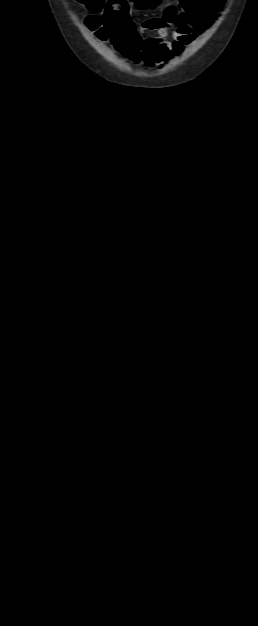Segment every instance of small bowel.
Segmentation results:
<instances>
[{"instance_id":"small-bowel-1","label":"small bowel","mask_w":258,"mask_h":626,"mask_svg":"<svg viewBox=\"0 0 258 626\" xmlns=\"http://www.w3.org/2000/svg\"><path fill=\"white\" fill-rule=\"evenodd\" d=\"M227 0H181L165 7L161 17L144 21L140 31H155V37L143 38L131 29L132 22L124 11L122 0L108 2L102 18L88 17L87 25L102 40H109L115 49L134 61L148 66L162 65L180 54L204 33L221 13ZM89 18H96L94 25ZM172 35V39L168 37Z\"/></svg>"}]
</instances>
